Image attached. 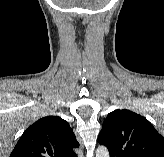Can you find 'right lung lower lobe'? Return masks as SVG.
<instances>
[{
	"label": "right lung lower lobe",
	"mask_w": 164,
	"mask_h": 157,
	"mask_svg": "<svg viewBox=\"0 0 164 157\" xmlns=\"http://www.w3.org/2000/svg\"><path fill=\"white\" fill-rule=\"evenodd\" d=\"M73 157H77V155L76 154H74V156Z\"/></svg>",
	"instance_id": "right-lung-lower-lobe-1"
}]
</instances>
